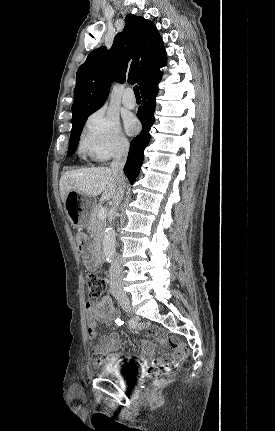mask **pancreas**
<instances>
[{"label":"pancreas","instance_id":"1","mask_svg":"<svg viewBox=\"0 0 275 431\" xmlns=\"http://www.w3.org/2000/svg\"><path fill=\"white\" fill-rule=\"evenodd\" d=\"M101 208V204L95 205L90 212L89 220L87 223V229L91 232V238L95 248L100 247L103 233L106 225L105 219L98 218V210Z\"/></svg>","mask_w":275,"mask_h":431}]
</instances>
